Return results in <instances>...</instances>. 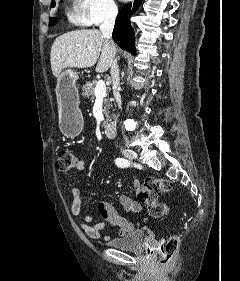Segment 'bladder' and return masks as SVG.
<instances>
[{
  "label": "bladder",
  "instance_id": "1",
  "mask_svg": "<svg viewBox=\"0 0 240 281\" xmlns=\"http://www.w3.org/2000/svg\"><path fill=\"white\" fill-rule=\"evenodd\" d=\"M147 238L144 230H133L126 235L110 240L107 245L124 251H138L143 247Z\"/></svg>",
  "mask_w": 240,
  "mask_h": 281
}]
</instances>
